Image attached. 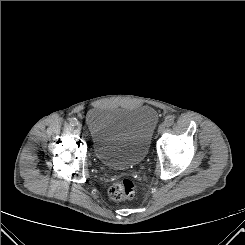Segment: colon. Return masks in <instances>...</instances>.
<instances>
[{
  "label": "colon",
  "instance_id": "colon-1",
  "mask_svg": "<svg viewBox=\"0 0 245 245\" xmlns=\"http://www.w3.org/2000/svg\"><path fill=\"white\" fill-rule=\"evenodd\" d=\"M136 191L135 183L130 179L114 183L109 188V197L114 201H126L134 197Z\"/></svg>",
  "mask_w": 245,
  "mask_h": 245
}]
</instances>
